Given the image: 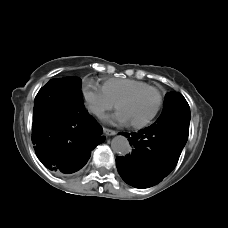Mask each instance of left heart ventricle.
<instances>
[{"label": "left heart ventricle", "mask_w": 228, "mask_h": 228, "mask_svg": "<svg viewBox=\"0 0 228 228\" xmlns=\"http://www.w3.org/2000/svg\"><path fill=\"white\" fill-rule=\"evenodd\" d=\"M157 102V94L150 91L125 103L121 107V111L130 122H141L152 114Z\"/></svg>", "instance_id": "obj_1"}]
</instances>
